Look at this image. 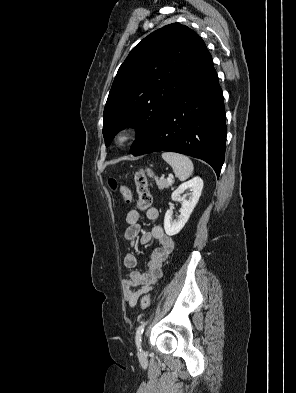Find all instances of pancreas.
I'll list each match as a JSON object with an SVG mask.
<instances>
[{
  "label": "pancreas",
  "mask_w": 296,
  "mask_h": 393,
  "mask_svg": "<svg viewBox=\"0 0 296 393\" xmlns=\"http://www.w3.org/2000/svg\"><path fill=\"white\" fill-rule=\"evenodd\" d=\"M156 184L159 188V190H163L164 188H169L172 186L173 182L167 181V179L161 177V178H155Z\"/></svg>",
  "instance_id": "obj_1"
}]
</instances>
